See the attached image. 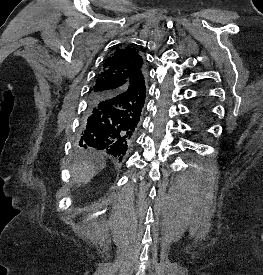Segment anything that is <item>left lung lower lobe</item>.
I'll return each instance as SVG.
<instances>
[{
    "instance_id": "1",
    "label": "left lung lower lobe",
    "mask_w": 263,
    "mask_h": 275,
    "mask_svg": "<svg viewBox=\"0 0 263 275\" xmlns=\"http://www.w3.org/2000/svg\"><path fill=\"white\" fill-rule=\"evenodd\" d=\"M208 106L205 103V97L203 96L200 98V101L198 102V105L195 108V116L198 121H200V124H205L207 116H208Z\"/></svg>"
}]
</instances>
